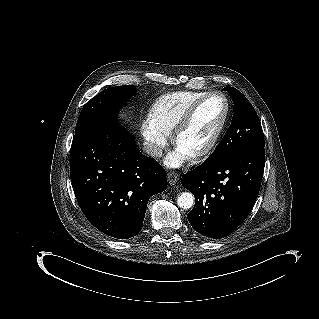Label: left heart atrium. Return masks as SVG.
I'll return each mask as SVG.
<instances>
[{"label": "left heart atrium", "instance_id": "39dd6f15", "mask_svg": "<svg viewBox=\"0 0 319 319\" xmlns=\"http://www.w3.org/2000/svg\"><path fill=\"white\" fill-rule=\"evenodd\" d=\"M189 154V151L177 149L166 156L165 163L169 167H179L187 161Z\"/></svg>", "mask_w": 319, "mask_h": 319}]
</instances>
